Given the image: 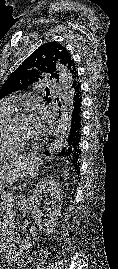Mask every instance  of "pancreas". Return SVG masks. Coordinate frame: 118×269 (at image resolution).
Instances as JSON below:
<instances>
[{"label":"pancreas","mask_w":118,"mask_h":269,"mask_svg":"<svg viewBox=\"0 0 118 269\" xmlns=\"http://www.w3.org/2000/svg\"><path fill=\"white\" fill-rule=\"evenodd\" d=\"M34 178L33 177H23V179H21L19 182H13L12 183V188L11 191L12 192H21L22 190H27L28 186L27 184H29L30 182H33Z\"/></svg>","instance_id":"cf45deb5"}]
</instances>
